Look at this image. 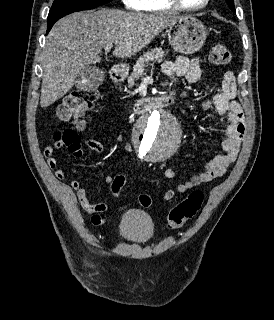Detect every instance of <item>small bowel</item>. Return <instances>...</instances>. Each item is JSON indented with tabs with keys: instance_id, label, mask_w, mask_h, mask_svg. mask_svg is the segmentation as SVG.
I'll return each mask as SVG.
<instances>
[{
	"instance_id": "1",
	"label": "small bowel",
	"mask_w": 274,
	"mask_h": 320,
	"mask_svg": "<svg viewBox=\"0 0 274 320\" xmlns=\"http://www.w3.org/2000/svg\"><path fill=\"white\" fill-rule=\"evenodd\" d=\"M163 72L166 76H182L189 84H196L201 78L200 63L197 58H188L179 56L174 60L166 61L163 64ZM237 86L236 78L233 72L224 71L220 78V88L214 94L212 99L205 100L201 103V109L207 110L214 106L216 112L222 116L224 123V139L222 141V153L215 156L209 163L206 164L205 169L194 175L191 179L179 183L175 188L167 189L162 199L170 201L177 193H185L188 190L199 186L201 184L210 182L217 177L222 176L228 167L235 161L243 137L246 132V122L243 109L236 101ZM76 131H83L84 124L87 121L83 119H75L74 121ZM54 146H42L41 151L47 159V164L54 169L57 166V160L50 154L56 148L63 147V140H54ZM85 145L96 153L104 151L103 144L96 139H87ZM126 152H132L133 147L130 144L124 145ZM78 154V150H74ZM55 176L58 179H63L65 173L61 169L55 171ZM165 176L168 179H175L176 172L173 168L165 170ZM117 176L106 174L104 181L112 184ZM70 187L75 191L78 202L83 210L89 213V220L93 225H101L106 221L105 213L108 211V205L104 202H93L88 198L86 189L78 180L70 182ZM125 206H120L119 209H124Z\"/></svg>"
}]
</instances>
